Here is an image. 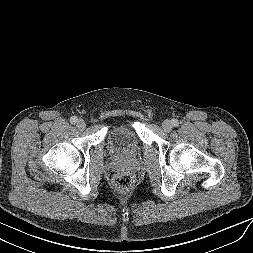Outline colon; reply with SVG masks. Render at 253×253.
<instances>
[{"label": "colon", "instance_id": "colon-1", "mask_svg": "<svg viewBox=\"0 0 253 253\" xmlns=\"http://www.w3.org/2000/svg\"><path fill=\"white\" fill-rule=\"evenodd\" d=\"M114 184L119 190L127 191L133 185V178L128 174H121L115 178Z\"/></svg>", "mask_w": 253, "mask_h": 253}]
</instances>
